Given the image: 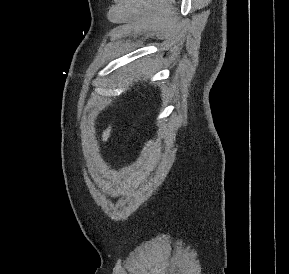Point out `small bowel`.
I'll return each mask as SVG.
<instances>
[{
	"instance_id": "small-bowel-1",
	"label": "small bowel",
	"mask_w": 289,
	"mask_h": 274,
	"mask_svg": "<svg viewBox=\"0 0 289 274\" xmlns=\"http://www.w3.org/2000/svg\"><path fill=\"white\" fill-rule=\"evenodd\" d=\"M112 129H113V125L110 124L103 130V132H102V142L103 143H106L109 140Z\"/></svg>"
}]
</instances>
